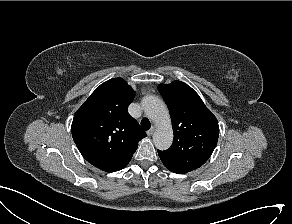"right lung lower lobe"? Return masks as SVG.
Masks as SVG:
<instances>
[{"mask_svg":"<svg viewBox=\"0 0 292 224\" xmlns=\"http://www.w3.org/2000/svg\"><path fill=\"white\" fill-rule=\"evenodd\" d=\"M124 167H126V166H123V167H121V168H119V169H117V170H115V171L121 170V169H123ZM113 172H114V171H113Z\"/></svg>","mask_w":292,"mask_h":224,"instance_id":"1","label":"right lung lower lobe"}]
</instances>
